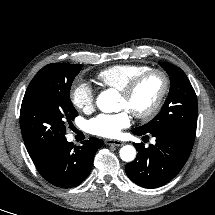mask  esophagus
Masks as SVG:
<instances>
[{"mask_svg":"<svg viewBox=\"0 0 215 215\" xmlns=\"http://www.w3.org/2000/svg\"><path fill=\"white\" fill-rule=\"evenodd\" d=\"M105 144L113 146H122L124 143L119 140L106 139Z\"/></svg>","mask_w":215,"mask_h":215,"instance_id":"34e87169","label":"esophagus"}]
</instances>
